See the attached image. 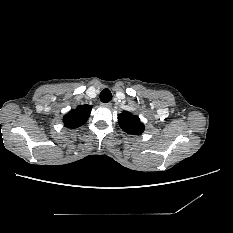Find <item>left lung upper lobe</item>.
I'll return each instance as SVG.
<instances>
[{
    "instance_id": "obj_1",
    "label": "left lung upper lobe",
    "mask_w": 233,
    "mask_h": 233,
    "mask_svg": "<svg viewBox=\"0 0 233 233\" xmlns=\"http://www.w3.org/2000/svg\"><path fill=\"white\" fill-rule=\"evenodd\" d=\"M118 122L120 127L128 134L140 135L144 131V124L140 121L138 116L124 111L119 114Z\"/></svg>"
}]
</instances>
